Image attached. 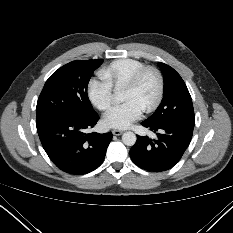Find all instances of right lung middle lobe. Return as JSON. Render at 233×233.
<instances>
[{"label": "right lung middle lobe", "instance_id": "right-lung-middle-lobe-1", "mask_svg": "<svg viewBox=\"0 0 233 233\" xmlns=\"http://www.w3.org/2000/svg\"><path fill=\"white\" fill-rule=\"evenodd\" d=\"M103 60L70 62L46 81L36 107V123L48 118H80L95 113L87 96L93 72Z\"/></svg>", "mask_w": 233, "mask_h": 233}]
</instances>
